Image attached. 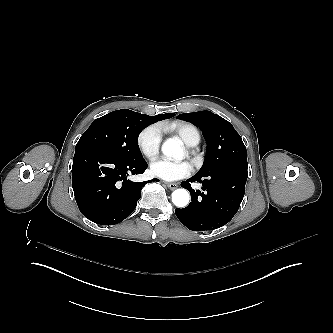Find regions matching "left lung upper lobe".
<instances>
[{
    "instance_id": "5c2ea615",
    "label": "left lung upper lobe",
    "mask_w": 333,
    "mask_h": 333,
    "mask_svg": "<svg viewBox=\"0 0 333 333\" xmlns=\"http://www.w3.org/2000/svg\"><path fill=\"white\" fill-rule=\"evenodd\" d=\"M177 118L190 121L199 127L207 142V156L197 176L208 177L229 165H247L246 147L227 120L210 111L184 113Z\"/></svg>"
}]
</instances>
